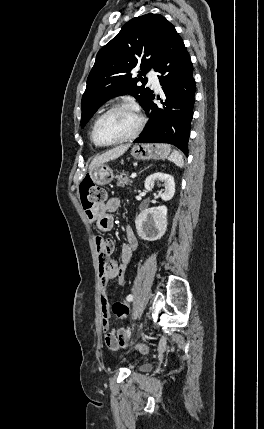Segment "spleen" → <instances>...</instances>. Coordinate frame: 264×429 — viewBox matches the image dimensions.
<instances>
[{
    "label": "spleen",
    "mask_w": 264,
    "mask_h": 429,
    "mask_svg": "<svg viewBox=\"0 0 264 429\" xmlns=\"http://www.w3.org/2000/svg\"><path fill=\"white\" fill-rule=\"evenodd\" d=\"M169 161L173 162L176 166L182 168L184 166L183 156L179 151H173L168 158Z\"/></svg>",
    "instance_id": "1"
}]
</instances>
